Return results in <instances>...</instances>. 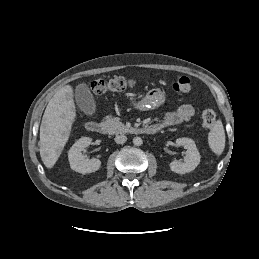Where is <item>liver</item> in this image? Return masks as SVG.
Instances as JSON below:
<instances>
[{"label":"liver","instance_id":"1","mask_svg":"<svg viewBox=\"0 0 259 259\" xmlns=\"http://www.w3.org/2000/svg\"><path fill=\"white\" fill-rule=\"evenodd\" d=\"M73 97L71 85L59 89L49 101L42 118L39 151L49 169L55 165L69 139L76 118Z\"/></svg>","mask_w":259,"mask_h":259}]
</instances>
